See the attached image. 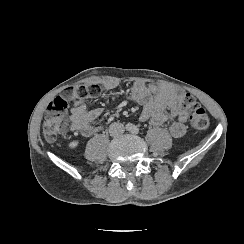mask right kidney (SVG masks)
Wrapping results in <instances>:
<instances>
[{"instance_id": "ca27d5eb", "label": "right kidney", "mask_w": 244, "mask_h": 244, "mask_svg": "<svg viewBox=\"0 0 244 244\" xmlns=\"http://www.w3.org/2000/svg\"><path fill=\"white\" fill-rule=\"evenodd\" d=\"M79 145H80V140L79 139H75V140H71V141L68 142L67 148L69 150H75V149H77L79 147Z\"/></svg>"}]
</instances>
